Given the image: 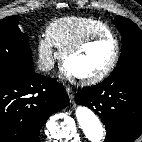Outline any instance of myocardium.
Segmentation results:
<instances>
[{
    "mask_svg": "<svg viewBox=\"0 0 142 142\" xmlns=\"http://www.w3.org/2000/svg\"><path fill=\"white\" fill-rule=\"evenodd\" d=\"M104 39H109V40L113 41V43L115 45V52H114V56H113L112 60L110 61V63L102 71H100L94 75L87 76V77L75 76L67 71V69L65 67V63H66V60L70 56L82 51L91 43L98 41V40H104ZM120 53H121L120 43L115 35H113V34H94V35H90V36H87V37L81 39L77 43L73 44L72 46H70L69 48L64 50L60 56V64H61L62 70L71 79H73L83 85H93V84H96V83L104 80L106 77H108L111 74V72L114 70V68L116 67V65L118 63Z\"/></svg>",
    "mask_w": 142,
    "mask_h": 142,
    "instance_id": "myocardium-1",
    "label": "myocardium"
}]
</instances>
